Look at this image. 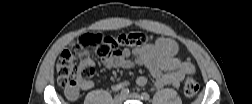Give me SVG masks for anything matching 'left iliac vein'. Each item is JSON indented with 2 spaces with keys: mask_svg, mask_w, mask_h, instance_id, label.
<instances>
[{
  "mask_svg": "<svg viewBox=\"0 0 252 104\" xmlns=\"http://www.w3.org/2000/svg\"><path fill=\"white\" fill-rule=\"evenodd\" d=\"M124 99H136L141 100V96L138 93H131L124 97Z\"/></svg>",
  "mask_w": 252,
  "mask_h": 104,
  "instance_id": "left-iliac-vein-1",
  "label": "left iliac vein"
}]
</instances>
